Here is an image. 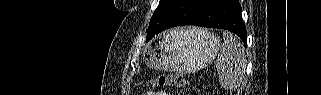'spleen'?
Listing matches in <instances>:
<instances>
[{
    "label": "spleen",
    "mask_w": 321,
    "mask_h": 95,
    "mask_svg": "<svg viewBox=\"0 0 321 95\" xmlns=\"http://www.w3.org/2000/svg\"><path fill=\"white\" fill-rule=\"evenodd\" d=\"M246 55L241 42L232 33L223 32V43L216 60L219 83L224 89H236L244 73Z\"/></svg>",
    "instance_id": "3e777b00"
}]
</instances>
